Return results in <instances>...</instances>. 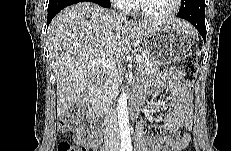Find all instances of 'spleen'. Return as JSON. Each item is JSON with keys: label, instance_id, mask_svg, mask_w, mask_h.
<instances>
[{"label": "spleen", "instance_id": "3e777b00", "mask_svg": "<svg viewBox=\"0 0 231 151\" xmlns=\"http://www.w3.org/2000/svg\"><path fill=\"white\" fill-rule=\"evenodd\" d=\"M196 54H197L198 56H200V55H201V52H200V51H197Z\"/></svg>", "mask_w": 231, "mask_h": 151}]
</instances>
